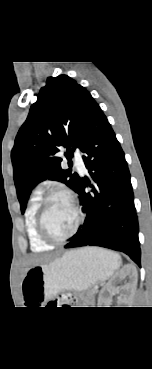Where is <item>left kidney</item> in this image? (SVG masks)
Here are the masks:
<instances>
[{
  "label": "left kidney",
  "instance_id": "obj_1",
  "mask_svg": "<svg viewBox=\"0 0 152 369\" xmlns=\"http://www.w3.org/2000/svg\"><path fill=\"white\" fill-rule=\"evenodd\" d=\"M128 277L129 282L125 285L124 290L126 292H132L137 285V278L138 273L134 266L127 265L124 268H122L105 286L103 290H101L98 298V306L99 307H107V305L110 303V299L108 297V294L111 293H117L118 289L115 286V283L120 281L122 278Z\"/></svg>",
  "mask_w": 152,
  "mask_h": 369
}]
</instances>
